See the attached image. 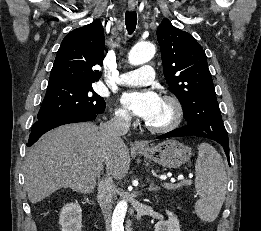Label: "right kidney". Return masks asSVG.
Instances as JSON below:
<instances>
[{
    "label": "right kidney",
    "instance_id": "right-kidney-1",
    "mask_svg": "<svg viewBox=\"0 0 261 231\" xmlns=\"http://www.w3.org/2000/svg\"><path fill=\"white\" fill-rule=\"evenodd\" d=\"M59 224L62 231H81L82 209L78 203L66 204L60 213Z\"/></svg>",
    "mask_w": 261,
    "mask_h": 231
}]
</instances>
